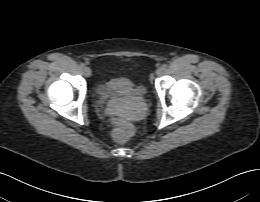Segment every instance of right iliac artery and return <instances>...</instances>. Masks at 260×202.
<instances>
[{
	"instance_id": "obj_1",
	"label": "right iliac artery",
	"mask_w": 260,
	"mask_h": 202,
	"mask_svg": "<svg viewBox=\"0 0 260 202\" xmlns=\"http://www.w3.org/2000/svg\"><path fill=\"white\" fill-rule=\"evenodd\" d=\"M84 67H85V64H84V63H81V64H80V68L83 69Z\"/></svg>"
}]
</instances>
